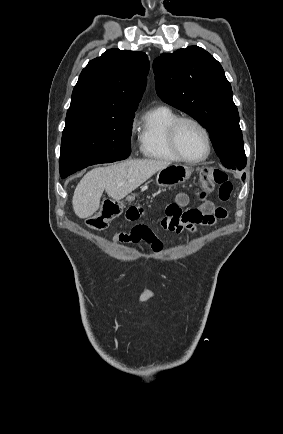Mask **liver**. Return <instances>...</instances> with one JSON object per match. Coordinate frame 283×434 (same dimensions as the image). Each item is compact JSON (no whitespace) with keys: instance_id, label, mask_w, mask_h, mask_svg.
Instances as JSON below:
<instances>
[{"instance_id":"obj_1","label":"liver","mask_w":283,"mask_h":434,"mask_svg":"<svg viewBox=\"0 0 283 434\" xmlns=\"http://www.w3.org/2000/svg\"><path fill=\"white\" fill-rule=\"evenodd\" d=\"M169 165L167 161L144 159L92 169L74 191L73 210L79 218H88L99 209L104 190L109 197L119 201Z\"/></svg>"}]
</instances>
